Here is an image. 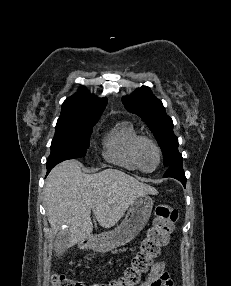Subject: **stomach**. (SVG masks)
I'll return each mask as SVG.
<instances>
[{"mask_svg": "<svg viewBox=\"0 0 231 286\" xmlns=\"http://www.w3.org/2000/svg\"><path fill=\"white\" fill-rule=\"evenodd\" d=\"M153 208V200L148 195L137 197L122 221L112 231L103 232L97 235H90L79 241L80 249H92L105 253L118 247L124 246L134 239L147 224Z\"/></svg>", "mask_w": 231, "mask_h": 286, "instance_id": "0dacf381", "label": "stomach"}]
</instances>
